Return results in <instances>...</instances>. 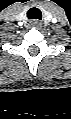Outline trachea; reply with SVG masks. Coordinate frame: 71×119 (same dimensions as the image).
Returning a JSON list of instances; mask_svg holds the SVG:
<instances>
[{"label":"trachea","mask_w":71,"mask_h":119,"mask_svg":"<svg viewBox=\"0 0 71 119\" xmlns=\"http://www.w3.org/2000/svg\"><path fill=\"white\" fill-rule=\"evenodd\" d=\"M27 17H28V19H38V20H41L42 19V13H41V11L38 8L33 7V8H30L28 10Z\"/></svg>","instance_id":"3493384b"}]
</instances>
